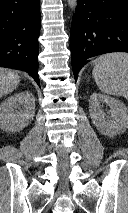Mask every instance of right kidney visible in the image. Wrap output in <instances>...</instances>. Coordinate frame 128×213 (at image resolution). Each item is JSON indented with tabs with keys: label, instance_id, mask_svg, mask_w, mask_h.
<instances>
[{
	"label": "right kidney",
	"instance_id": "ca27d5eb",
	"mask_svg": "<svg viewBox=\"0 0 128 213\" xmlns=\"http://www.w3.org/2000/svg\"><path fill=\"white\" fill-rule=\"evenodd\" d=\"M34 114V95L30 91L16 93L0 104V127L7 132H19L31 123Z\"/></svg>",
	"mask_w": 128,
	"mask_h": 213
}]
</instances>
